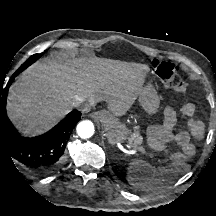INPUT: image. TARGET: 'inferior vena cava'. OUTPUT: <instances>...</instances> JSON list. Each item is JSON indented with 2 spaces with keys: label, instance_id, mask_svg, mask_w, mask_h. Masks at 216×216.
Masks as SVG:
<instances>
[{
  "label": "inferior vena cava",
  "instance_id": "602c4592",
  "mask_svg": "<svg viewBox=\"0 0 216 216\" xmlns=\"http://www.w3.org/2000/svg\"><path fill=\"white\" fill-rule=\"evenodd\" d=\"M93 105L94 102L92 99L80 96L76 97L75 101L73 102V106L81 112H88Z\"/></svg>",
  "mask_w": 216,
  "mask_h": 216
}]
</instances>
